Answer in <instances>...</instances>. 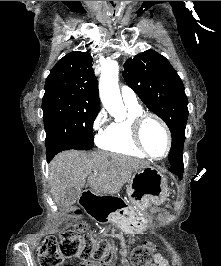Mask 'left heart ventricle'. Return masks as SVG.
I'll return each mask as SVG.
<instances>
[{"instance_id": "1", "label": "left heart ventricle", "mask_w": 221, "mask_h": 266, "mask_svg": "<svg viewBox=\"0 0 221 266\" xmlns=\"http://www.w3.org/2000/svg\"><path fill=\"white\" fill-rule=\"evenodd\" d=\"M142 141L148 152L160 157L166 149V137L160 125L153 119L145 121L142 128Z\"/></svg>"}]
</instances>
